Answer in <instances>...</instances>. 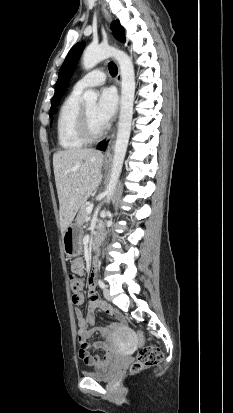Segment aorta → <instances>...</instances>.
<instances>
[{"label":"aorta","mask_w":233,"mask_h":413,"mask_svg":"<svg viewBox=\"0 0 233 413\" xmlns=\"http://www.w3.org/2000/svg\"><path fill=\"white\" fill-rule=\"evenodd\" d=\"M109 57H113L118 62L122 81L117 137L114 147L110 180L105 191L107 202L110 201L116 188L129 142L135 93L134 67L131 58L125 52L105 45L88 46L85 49L82 58L83 67L86 70H89ZM97 98L98 94L91 89L86 90L83 94L84 101L89 105H95Z\"/></svg>","instance_id":"obj_1"}]
</instances>
